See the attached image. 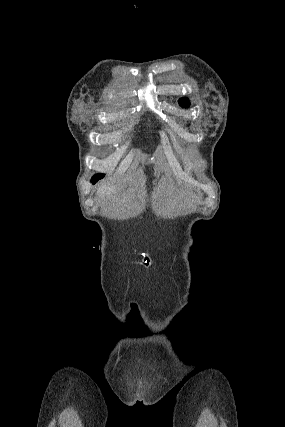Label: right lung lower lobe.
I'll return each mask as SVG.
<instances>
[{"mask_svg": "<svg viewBox=\"0 0 285 427\" xmlns=\"http://www.w3.org/2000/svg\"><path fill=\"white\" fill-rule=\"evenodd\" d=\"M91 182L94 184V183H96V182H97V180H94V179L92 178Z\"/></svg>", "mask_w": 285, "mask_h": 427, "instance_id": "1", "label": "right lung lower lobe"}]
</instances>
